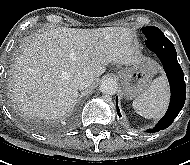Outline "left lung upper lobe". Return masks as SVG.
I'll return each mask as SVG.
<instances>
[{"instance_id":"obj_1","label":"left lung upper lobe","mask_w":190,"mask_h":165,"mask_svg":"<svg viewBox=\"0 0 190 165\" xmlns=\"http://www.w3.org/2000/svg\"><path fill=\"white\" fill-rule=\"evenodd\" d=\"M141 30L146 36L147 40H151L159 36H164L163 32L155 26L142 27Z\"/></svg>"}]
</instances>
